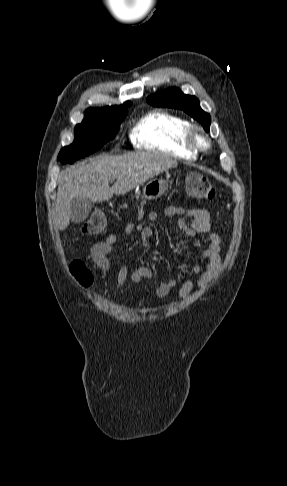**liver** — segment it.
Listing matches in <instances>:
<instances>
[{"mask_svg":"<svg viewBox=\"0 0 287 486\" xmlns=\"http://www.w3.org/2000/svg\"><path fill=\"white\" fill-rule=\"evenodd\" d=\"M178 162L158 153L137 152L121 156L101 155L88 163L72 166L58 179L55 219L63 231L71 219V202L86 197L103 202L112 196L125 194L163 171L176 167ZM116 179L109 187V182Z\"/></svg>","mask_w":287,"mask_h":486,"instance_id":"1","label":"liver"}]
</instances>
